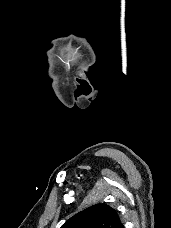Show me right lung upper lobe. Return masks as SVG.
I'll list each match as a JSON object with an SVG mask.
<instances>
[{
    "label": "right lung upper lobe",
    "mask_w": 171,
    "mask_h": 228,
    "mask_svg": "<svg viewBox=\"0 0 171 228\" xmlns=\"http://www.w3.org/2000/svg\"><path fill=\"white\" fill-rule=\"evenodd\" d=\"M61 228H124V225L115 209L96 204L71 217Z\"/></svg>",
    "instance_id": "1"
}]
</instances>
